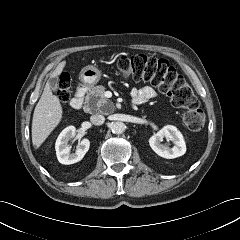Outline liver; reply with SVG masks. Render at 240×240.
Segmentation results:
<instances>
[{
    "label": "liver",
    "mask_w": 240,
    "mask_h": 240,
    "mask_svg": "<svg viewBox=\"0 0 240 240\" xmlns=\"http://www.w3.org/2000/svg\"><path fill=\"white\" fill-rule=\"evenodd\" d=\"M65 65L66 61L60 62L51 73L50 78L59 76ZM62 113L60 101L52 94L49 82H47L35 107L32 119V143L36 149L41 146L54 128L60 123Z\"/></svg>",
    "instance_id": "6515ba94"
}]
</instances>
